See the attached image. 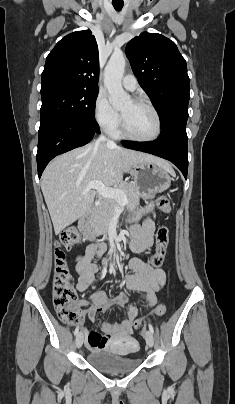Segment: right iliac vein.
Wrapping results in <instances>:
<instances>
[{"instance_id": "1", "label": "right iliac vein", "mask_w": 235, "mask_h": 404, "mask_svg": "<svg viewBox=\"0 0 235 404\" xmlns=\"http://www.w3.org/2000/svg\"><path fill=\"white\" fill-rule=\"evenodd\" d=\"M82 344H83V334H82V333H79V334L77 335V337H76V346H77L78 348H81Z\"/></svg>"}]
</instances>
